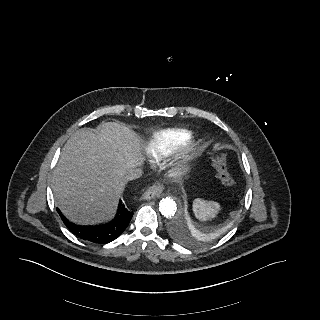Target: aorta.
I'll return each mask as SVG.
<instances>
[{"instance_id": "762f6f07", "label": "aorta", "mask_w": 320, "mask_h": 320, "mask_svg": "<svg viewBox=\"0 0 320 320\" xmlns=\"http://www.w3.org/2000/svg\"><path fill=\"white\" fill-rule=\"evenodd\" d=\"M159 210L165 217H172L177 212V204L175 199L171 197L163 198L159 203ZM177 229H182V222L179 220L176 222Z\"/></svg>"}]
</instances>
